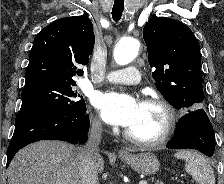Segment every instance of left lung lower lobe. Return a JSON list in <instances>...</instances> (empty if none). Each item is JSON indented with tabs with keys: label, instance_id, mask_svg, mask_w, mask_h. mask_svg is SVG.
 Listing matches in <instances>:
<instances>
[{
	"label": "left lung lower lobe",
	"instance_id": "0a47b994",
	"mask_svg": "<svg viewBox=\"0 0 224 184\" xmlns=\"http://www.w3.org/2000/svg\"><path fill=\"white\" fill-rule=\"evenodd\" d=\"M170 149H196L211 157L215 150L212 124L202 108L190 111L177 123L176 135L167 144Z\"/></svg>",
	"mask_w": 224,
	"mask_h": 184
}]
</instances>
